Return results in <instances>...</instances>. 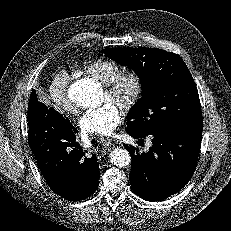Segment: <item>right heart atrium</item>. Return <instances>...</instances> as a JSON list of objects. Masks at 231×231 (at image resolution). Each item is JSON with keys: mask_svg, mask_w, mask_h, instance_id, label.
Returning <instances> with one entry per match:
<instances>
[{"mask_svg": "<svg viewBox=\"0 0 231 231\" xmlns=\"http://www.w3.org/2000/svg\"><path fill=\"white\" fill-rule=\"evenodd\" d=\"M70 76L66 71L56 73L50 84V95L58 108L66 113H75L76 109L68 96Z\"/></svg>", "mask_w": 231, "mask_h": 231, "instance_id": "right-heart-atrium-1", "label": "right heart atrium"}]
</instances>
